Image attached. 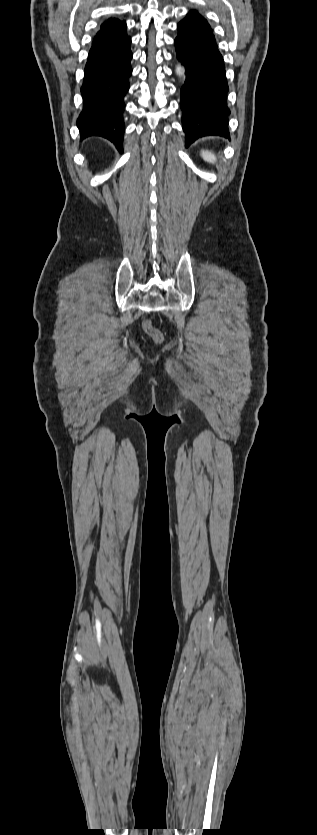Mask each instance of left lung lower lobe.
<instances>
[{"label": "left lung lower lobe", "mask_w": 317, "mask_h": 835, "mask_svg": "<svg viewBox=\"0 0 317 835\" xmlns=\"http://www.w3.org/2000/svg\"><path fill=\"white\" fill-rule=\"evenodd\" d=\"M177 28V58L186 69L180 103L186 146L209 135L230 138L225 101L229 88L212 29L197 11L189 12Z\"/></svg>", "instance_id": "0a47b994"}]
</instances>
